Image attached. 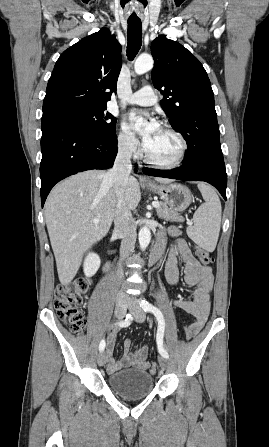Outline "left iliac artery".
Listing matches in <instances>:
<instances>
[{
    "label": "left iliac artery",
    "mask_w": 269,
    "mask_h": 447,
    "mask_svg": "<svg viewBox=\"0 0 269 447\" xmlns=\"http://www.w3.org/2000/svg\"><path fill=\"white\" fill-rule=\"evenodd\" d=\"M139 304H140V307L145 312H152L155 315V317L157 318L158 330H157L156 341H157L158 350H159V353L163 357L168 358L169 355L163 347V336H164V330H165V320H164L163 314L161 313V311L158 308L154 307L148 301L141 300Z\"/></svg>",
    "instance_id": "obj_1"
}]
</instances>
